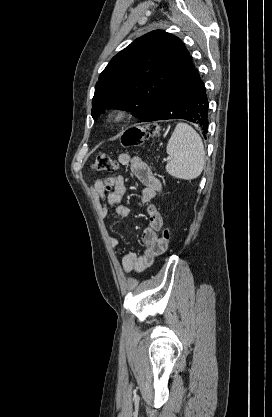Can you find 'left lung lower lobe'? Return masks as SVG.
Wrapping results in <instances>:
<instances>
[{"label": "left lung lower lobe", "mask_w": 272, "mask_h": 417, "mask_svg": "<svg viewBox=\"0 0 272 417\" xmlns=\"http://www.w3.org/2000/svg\"><path fill=\"white\" fill-rule=\"evenodd\" d=\"M208 110L206 88L198 71L190 62L175 78L150 114L140 122L185 119L206 134Z\"/></svg>", "instance_id": "0a47b994"}]
</instances>
